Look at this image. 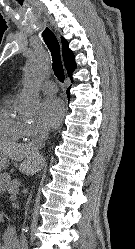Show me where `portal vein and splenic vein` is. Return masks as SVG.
<instances>
[{"label": "portal vein and splenic vein", "instance_id": "portal-vein-and-splenic-vein-1", "mask_svg": "<svg viewBox=\"0 0 135 249\" xmlns=\"http://www.w3.org/2000/svg\"><path fill=\"white\" fill-rule=\"evenodd\" d=\"M11 199H12V200H15V199H16V197H11Z\"/></svg>", "mask_w": 135, "mask_h": 249}]
</instances>
